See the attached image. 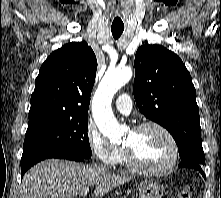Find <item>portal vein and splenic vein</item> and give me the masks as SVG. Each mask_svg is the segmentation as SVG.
Wrapping results in <instances>:
<instances>
[{"instance_id":"18ae733b","label":"portal vein and splenic vein","mask_w":221,"mask_h":198,"mask_svg":"<svg viewBox=\"0 0 221 198\" xmlns=\"http://www.w3.org/2000/svg\"><path fill=\"white\" fill-rule=\"evenodd\" d=\"M87 194V192L83 193L82 195Z\"/></svg>"}]
</instances>
